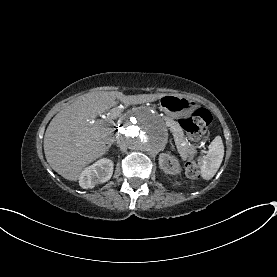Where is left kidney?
Returning <instances> with one entry per match:
<instances>
[{
    "label": "left kidney",
    "instance_id": "left-kidney-1",
    "mask_svg": "<svg viewBox=\"0 0 277 277\" xmlns=\"http://www.w3.org/2000/svg\"><path fill=\"white\" fill-rule=\"evenodd\" d=\"M170 163V166H169ZM159 164L161 169L164 170L165 173L170 175H175L179 171V163L178 161L173 158L172 156H169L168 154H161L159 158Z\"/></svg>",
    "mask_w": 277,
    "mask_h": 277
}]
</instances>
